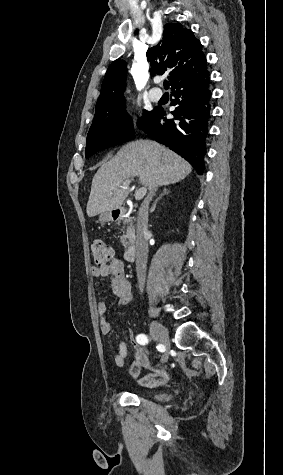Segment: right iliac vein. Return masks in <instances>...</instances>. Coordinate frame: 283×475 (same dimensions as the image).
<instances>
[{
	"mask_svg": "<svg viewBox=\"0 0 283 475\" xmlns=\"http://www.w3.org/2000/svg\"><path fill=\"white\" fill-rule=\"evenodd\" d=\"M150 332H151V336L163 343L166 347V352L164 353L163 357H162V361L163 362H166L168 360V350L170 348V343H169V336H168V332L166 330V328L159 322L157 321H152L150 323Z\"/></svg>",
	"mask_w": 283,
	"mask_h": 475,
	"instance_id": "right-iliac-vein-1",
	"label": "right iliac vein"
}]
</instances>
